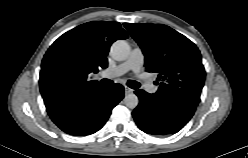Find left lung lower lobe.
Wrapping results in <instances>:
<instances>
[{
  "label": "left lung lower lobe",
  "instance_id": "0a47b994",
  "mask_svg": "<svg viewBox=\"0 0 248 158\" xmlns=\"http://www.w3.org/2000/svg\"><path fill=\"white\" fill-rule=\"evenodd\" d=\"M139 105L132 115L138 127L148 134L166 135L177 133L193 116L195 109L177 104L167 103L154 94L137 90Z\"/></svg>",
  "mask_w": 248,
  "mask_h": 158
}]
</instances>
